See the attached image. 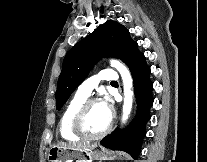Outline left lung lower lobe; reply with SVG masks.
Segmentation results:
<instances>
[{"instance_id":"obj_1","label":"left lung lower lobe","mask_w":207,"mask_h":162,"mask_svg":"<svg viewBox=\"0 0 207 162\" xmlns=\"http://www.w3.org/2000/svg\"><path fill=\"white\" fill-rule=\"evenodd\" d=\"M128 66L132 73L137 99L136 116L125 130L116 129L104 137L101 143L106 148L125 151L137 159L141 151L142 139L146 134L145 125L150 119L153 84L149 79L150 68L143 54H139Z\"/></svg>"}]
</instances>
